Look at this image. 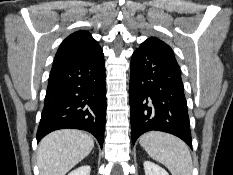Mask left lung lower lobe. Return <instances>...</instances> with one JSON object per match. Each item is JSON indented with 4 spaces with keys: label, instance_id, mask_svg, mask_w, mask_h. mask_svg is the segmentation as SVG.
<instances>
[{
    "label": "left lung lower lobe",
    "instance_id": "obj_1",
    "mask_svg": "<svg viewBox=\"0 0 233 175\" xmlns=\"http://www.w3.org/2000/svg\"><path fill=\"white\" fill-rule=\"evenodd\" d=\"M130 119L133 144L143 133L158 130L192 147L179 65L146 44L133 53L130 64Z\"/></svg>",
    "mask_w": 233,
    "mask_h": 175
}]
</instances>
